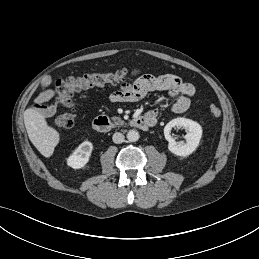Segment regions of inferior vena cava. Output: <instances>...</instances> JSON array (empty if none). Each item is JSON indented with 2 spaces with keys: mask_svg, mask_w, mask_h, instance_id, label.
Wrapping results in <instances>:
<instances>
[{
  "mask_svg": "<svg viewBox=\"0 0 259 259\" xmlns=\"http://www.w3.org/2000/svg\"><path fill=\"white\" fill-rule=\"evenodd\" d=\"M113 142L116 143V144H120L124 141V135L120 132H116L113 134Z\"/></svg>",
  "mask_w": 259,
  "mask_h": 259,
  "instance_id": "inferior-vena-cava-1",
  "label": "inferior vena cava"
}]
</instances>
